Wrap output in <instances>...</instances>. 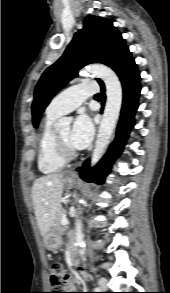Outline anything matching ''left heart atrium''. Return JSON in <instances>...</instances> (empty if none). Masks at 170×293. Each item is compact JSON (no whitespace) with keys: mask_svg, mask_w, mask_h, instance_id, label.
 I'll return each instance as SVG.
<instances>
[{"mask_svg":"<svg viewBox=\"0 0 170 293\" xmlns=\"http://www.w3.org/2000/svg\"><path fill=\"white\" fill-rule=\"evenodd\" d=\"M93 125L86 115L79 116L70 131L69 142L73 148L83 149L88 146L93 137Z\"/></svg>","mask_w":170,"mask_h":293,"instance_id":"left-heart-atrium-1","label":"left heart atrium"}]
</instances>
